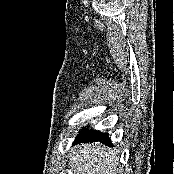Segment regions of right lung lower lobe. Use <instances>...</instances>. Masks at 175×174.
Listing matches in <instances>:
<instances>
[{"instance_id": "1", "label": "right lung lower lobe", "mask_w": 175, "mask_h": 174, "mask_svg": "<svg viewBox=\"0 0 175 174\" xmlns=\"http://www.w3.org/2000/svg\"><path fill=\"white\" fill-rule=\"evenodd\" d=\"M104 142L107 145L111 144L107 133H99L96 130H83L75 139L74 144L78 142Z\"/></svg>"}]
</instances>
